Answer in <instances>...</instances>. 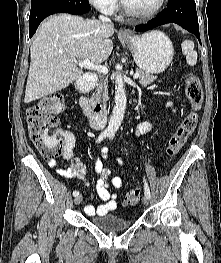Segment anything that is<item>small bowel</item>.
<instances>
[{
	"mask_svg": "<svg viewBox=\"0 0 221 263\" xmlns=\"http://www.w3.org/2000/svg\"><path fill=\"white\" fill-rule=\"evenodd\" d=\"M152 130L151 124L144 122L138 125V133H148ZM64 137V150L63 158L67 164L58 168L57 173L65 178H78L86 181L87 170L86 166L80 161L79 157L75 155V147L77 140L73 132H63ZM116 161L121 165L122 171L119 176L110 178V171L103 167L104 162L108 160L107 149H103L97 156L94 162V170L97 174V181L95 185L96 193L101 198L103 203L98 207L93 205H86L84 211L87 215H105L113 211L117 207V196L111 192V187L121 188L124 183L125 166L121 156L116 155ZM49 167H56V160H48ZM88 185V184H87Z\"/></svg>",
	"mask_w": 221,
	"mask_h": 263,
	"instance_id": "small-bowel-1",
	"label": "small bowel"
}]
</instances>
